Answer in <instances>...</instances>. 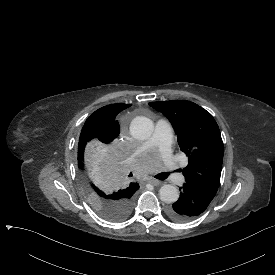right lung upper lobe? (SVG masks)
Listing matches in <instances>:
<instances>
[{
  "instance_id": "right-lung-upper-lobe-1",
  "label": "right lung upper lobe",
  "mask_w": 275,
  "mask_h": 275,
  "mask_svg": "<svg viewBox=\"0 0 275 275\" xmlns=\"http://www.w3.org/2000/svg\"><path fill=\"white\" fill-rule=\"evenodd\" d=\"M131 104H111L104 106L88 117L86 120L81 135L89 134L97 136L102 143L108 144L112 142L119 135V123L115 119L117 114L125 108H128ZM79 161V156H78ZM80 163V161H79ZM139 189L137 183H130V185L124 189V195H133Z\"/></svg>"
}]
</instances>
